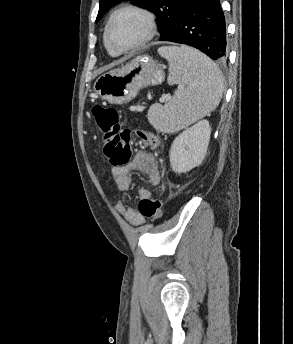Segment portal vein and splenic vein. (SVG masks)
I'll list each match as a JSON object with an SVG mask.
<instances>
[{
    "label": "portal vein and splenic vein",
    "instance_id": "18ae733b",
    "mask_svg": "<svg viewBox=\"0 0 293 344\" xmlns=\"http://www.w3.org/2000/svg\"><path fill=\"white\" fill-rule=\"evenodd\" d=\"M165 99H166V97H162V99H161V100H162V101H164Z\"/></svg>",
    "mask_w": 293,
    "mask_h": 344
}]
</instances>
